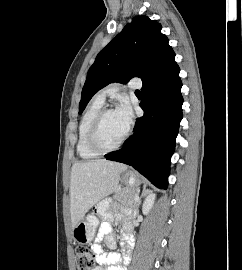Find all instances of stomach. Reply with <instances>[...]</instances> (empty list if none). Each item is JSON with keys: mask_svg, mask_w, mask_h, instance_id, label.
I'll return each instance as SVG.
<instances>
[{"mask_svg": "<svg viewBox=\"0 0 242 270\" xmlns=\"http://www.w3.org/2000/svg\"><path fill=\"white\" fill-rule=\"evenodd\" d=\"M121 181L132 191H138L141 179L132 171H126L121 176ZM98 219L94 215L84 216L73 228L72 238L79 244L92 241L95 236Z\"/></svg>", "mask_w": 242, "mask_h": 270, "instance_id": "stomach-1", "label": "stomach"}]
</instances>
